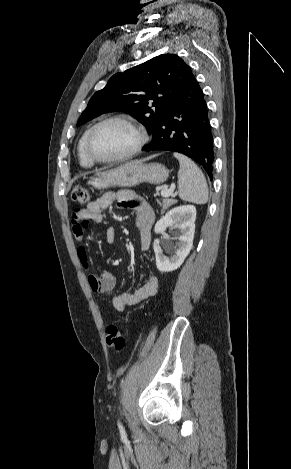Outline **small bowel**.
<instances>
[{"label":"small bowel","instance_id":"obj_1","mask_svg":"<svg viewBox=\"0 0 291 469\" xmlns=\"http://www.w3.org/2000/svg\"><path fill=\"white\" fill-rule=\"evenodd\" d=\"M114 202L135 211V222L139 229L141 249L148 250L151 244V229L155 221V213L152 206L144 199L129 190L118 192H106L101 197L91 202L86 209L76 210L72 215L73 233L75 238L83 241V237L88 230L90 222L101 223L103 212ZM116 231L113 227L106 230V241L108 244L114 243ZM79 259L85 269H88V257L86 248L82 245L78 248ZM90 289L97 294L110 296L117 287L116 276L108 271L102 270L99 275L90 274L88 276ZM158 279L150 276L139 288L129 293H120L112 298V305L115 311L123 312L128 306L136 305L141 301L156 294L158 290Z\"/></svg>","mask_w":291,"mask_h":469}]
</instances>
